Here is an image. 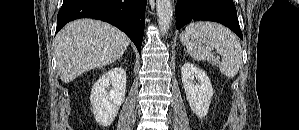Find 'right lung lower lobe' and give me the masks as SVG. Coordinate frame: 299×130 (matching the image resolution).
Wrapping results in <instances>:
<instances>
[{"mask_svg":"<svg viewBox=\"0 0 299 130\" xmlns=\"http://www.w3.org/2000/svg\"><path fill=\"white\" fill-rule=\"evenodd\" d=\"M147 0H64L57 15L56 33L68 22L93 18L122 30L141 52Z\"/></svg>","mask_w":299,"mask_h":130,"instance_id":"obj_1","label":"right lung lower lobe"}]
</instances>
